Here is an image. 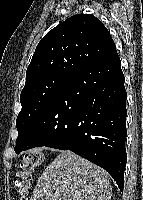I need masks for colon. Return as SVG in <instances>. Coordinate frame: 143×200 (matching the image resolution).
Instances as JSON below:
<instances>
[{
	"label": "colon",
	"instance_id": "1",
	"mask_svg": "<svg viewBox=\"0 0 143 200\" xmlns=\"http://www.w3.org/2000/svg\"><path fill=\"white\" fill-rule=\"evenodd\" d=\"M42 161L43 155L39 152H30L25 155L16 172L15 187L18 194L17 200H26L32 174L40 166Z\"/></svg>",
	"mask_w": 143,
	"mask_h": 200
}]
</instances>
